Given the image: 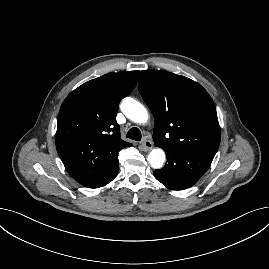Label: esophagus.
<instances>
[{"label": "esophagus", "instance_id": "obj_1", "mask_svg": "<svg viewBox=\"0 0 269 269\" xmlns=\"http://www.w3.org/2000/svg\"><path fill=\"white\" fill-rule=\"evenodd\" d=\"M142 145L146 151H149L153 148V143L150 139L144 138L142 141Z\"/></svg>", "mask_w": 269, "mask_h": 269}]
</instances>
